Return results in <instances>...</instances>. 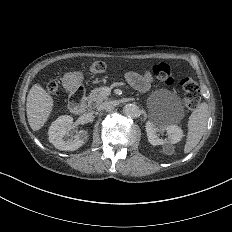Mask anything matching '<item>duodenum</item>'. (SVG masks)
<instances>
[{"instance_id": "410a0bca", "label": "duodenum", "mask_w": 232, "mask_h": 232, "mask_svg": "<svg viewBox=\"0 0 232 232\" xmlns=\"http://www.w3.org/2000/svg\"><path fill=\"white\" fill-rule=\"evenodd\" d=\"M65 88L69 92L70 111L75 115L82 114L85 108V88L76 80L66 81Z\"/></svg>"}]
</instances>
